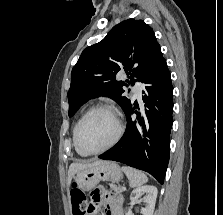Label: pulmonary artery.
<instances>
[{"instance_id": "1", "label": "pulmonary artery", "mask_w": 223, "mask_h": 215, "mask_svg": "<svg viewBox=\"0 0 223 215\" xmlns=\"http://www.w3.org/2000/svg\"><path fill=\"white\" fill-rule=\"evenodd\" d=\"M134 81H137V78H134ZM144 87H145V82H136L135 89L131 90L133 97L134 98H143L144 94L142 93V90H144Z\"/></svg>"}]
</instances>
